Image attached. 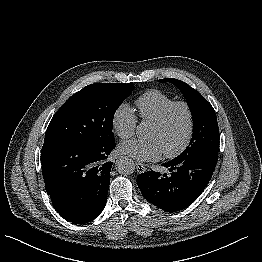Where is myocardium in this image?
Segmentation results:
<instances>
[{
    "label": "myocardium",
    "mask_w": 262,
    "mask_h": 262,
    "mask_svg": "<svg viewBox=\"0 0 262 262\" xmlns=\"http://www.w3.org/2000/svg\"><path fill=\"white\" fill-rule=\"evenodd\" d=\"M177 107H183L187 112V115H188V130H187V134L185 136L184 141L182 142V144L177 149H175L172 152H165L164 153V156L166 158H169V159L178 157L189 147V145L192 141L194 132H195V113H194V110H193L192 106L186 101H175L172 104H170L157 119L152 121L153 125H155L157 127H163L167 123V121L169 120L172 112Z\"/></svg>",
    "instance_id": "obj_1"
}]
</instances>
